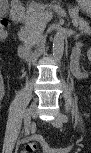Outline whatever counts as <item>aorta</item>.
Masks as SVG:
<instances>
[{
    "label": "aorta",
    "mask_w": 91,
    "mask_h": 153,
    "mask_svg": "<svg viewBox=\"0 0 91 153\" xmlns=\"http://www.w3.org/2000/svg\"><path fill=\"white\" fill-rule=\"evenodd\" d=\"M53 58L55 61H60L64 53V36L57 32L53 39L52 47Z\"/></svg>",
    "instance_id": "1"
}]
</instances>
